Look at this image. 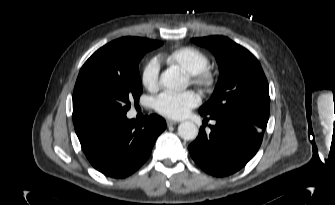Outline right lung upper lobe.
Listing matches in <instances>:
<instances>
[{
	"mask_svg": "<svg viewBox=\"0 0 335 205\" xmlns=\"http://www.w3.org/2000/svg\"><path fill=\"white\" fill-rule=\"evenodd\" d=\"M127 38L135 40H146V38L138 37H123L108 43L99 50H97L82 66L78 77L88 74L92 69L98 66L109 67L112 69L119 68L125 61V56L122 52L115 50L114 46ZM149 40V39H148ZM153 41V40H152Z\"/></svg>",
	"mask_w": 335,
	"mask_h": 205,
	"instance_id": "obj_1",
	"label": "right lung upper lobe"
}]
</instances>
